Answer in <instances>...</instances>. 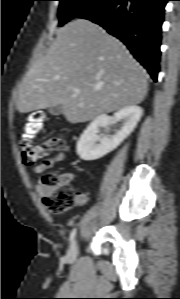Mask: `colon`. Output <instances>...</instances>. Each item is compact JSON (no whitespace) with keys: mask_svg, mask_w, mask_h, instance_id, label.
<instances>
[{"mask_svg":"<svg viewBox=\"0 0 180 299\" xmlns=\"http://www.w3.org/2000/svg\"><path fill=\"white\" fill-rule=\"evenodd\" d=\"M44 123V113L37 110L28 115L22 127L20 151L26 165L36 164L50 151H63L67 148L65 139L60 135H52L41 143L33 141L43 130ZM43 183L46 187L43 203L51 212H62L74 206L78 195L63 175L45 176Z\"/></svg>","mask_w":180,"mask_h":299,"instance_id":"colon-1","label":"colon"}]
</instances>
